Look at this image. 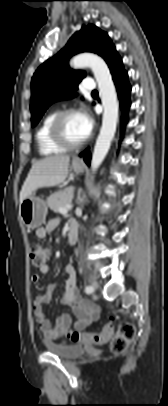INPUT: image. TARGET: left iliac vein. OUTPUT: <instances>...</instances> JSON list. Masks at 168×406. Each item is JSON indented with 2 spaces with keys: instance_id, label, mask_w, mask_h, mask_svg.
<instances>
[{
  "instance_id": "1",
  "label": "left iliac vein",
  "mask_w": 168,
  "mask_h": 406,
  "mask_svg": "<svg viewBox=\"0 0 168 406\" xmlns=\"http://www.w3.org/2000/svg\"><path fill=\"white\" fill-rule=\"evenodd\" d=\"M92 287H93L94 289H96V288L98 287V285H97L96 283H93Z\"/></svg>"
}]
</instances>
